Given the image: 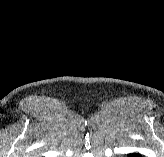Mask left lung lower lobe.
Masks as SVG:
<instances>
[{"label": "left lung lower lobe", "instance_id": "obj_1", "mask_svg": "<svg viewBox=\"0 0 164 157\" xmlns=\"http://www.w3.org/2000/svg\"><path fill=\"white\" fill-rule=\"evenodd\" d=\"M129 157H141L140 154H130Z\"/></svg>", "mask_w": 164, "mask_h": 157}]
</instances>
